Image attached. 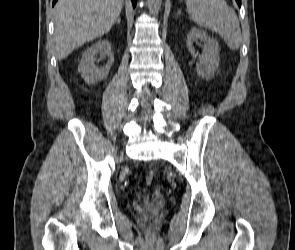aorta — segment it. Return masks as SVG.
<instances>
[{
	"label": "aorta",
	"mask_w": 295,
	"mask_h": 250,
	"mask_svg": "<svg viewBox=\"0 0 295 250\" xmlns=\"http://www.w3.org/2000/svg\"><path fill=\"white\" fill-rule=\"evenodd\" d=\"M162 0H148V7L153 14H157L160 10Z\"/></svg>",
	"instance_id": "aorta-1"
}]
</instances>
